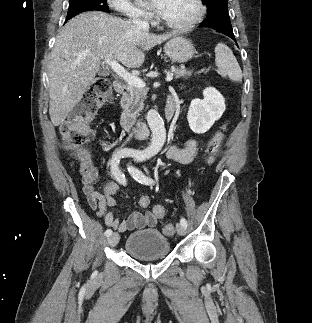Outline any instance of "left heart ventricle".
<instances>
[{
    "label": "left heart ventricle",
    "mask_w": 312,
    "mask_h": 323,
    "mask_svg": "<svg viewBox=\"0 0 312 323\" xmlns=\"http://www.w3.org/2000/svg\"><path fill=\"white\" fill-rule=\"evenodd\" d=\"M197 2L194 0H167L164 7L165 18H186V14H196Z\"/></svg>",
    "instance_id": "b2bd125f"
}]
</instances>
